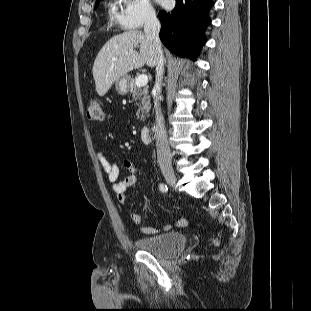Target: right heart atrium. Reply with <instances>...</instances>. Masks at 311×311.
<instances>
[{
	"mask_svg": "<svg viewBox=\"0 0 311 311\" xmlns=\"http://www.w3.org/2000/svg\"><path fill=\"white\" fill-rule=\"evenodd\" d=\"M120 9L114 13L116 23L124 30L135 31L155 20L149 0H117Z\"/></svg>",
	"mask_w": 311,
	"mask_h": 311,
	"instance_id": "right-heart-atrium-1",
	"label": "right heart atrium"
}]
</instances>
